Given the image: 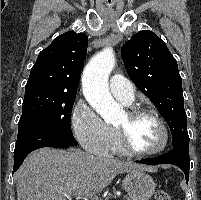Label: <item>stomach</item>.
I'll return each instance as SVG.
<instances>
[{"mask_svg":"<svg viewBox=\"0 0 201 200\" xmlns=\"http://www.w3.org/2000/svg\"><path fill=\"white\" fill-rule=\"evenodd\" d=\"M123 187L132 200H149L155 192L153 178L143 171H131L123 180Z\"/></svg>","mask_w":201,"mask_h":200,"instance_id":"obj_1","label":"stomach"}]
</instances>
